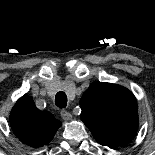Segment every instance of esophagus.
Listing matches in <instances>:
<instances>
[{"instance_id": "obj_1", "label": "esophagus", "mask_w": 155, "mask_h": 155, "mask_svg": "<svg viewBox=\"0 0 155 155\" xmlns=\"http://www.w3.org/2000/svg\"><path fill=\"white\" fill-rule=\"evenodd\" d=\"M60 114H61L62 119L65 120V121H69V120L72 119V115L69 112L65 111V110L61 111Z\"/></svg>"}]
</instances>
